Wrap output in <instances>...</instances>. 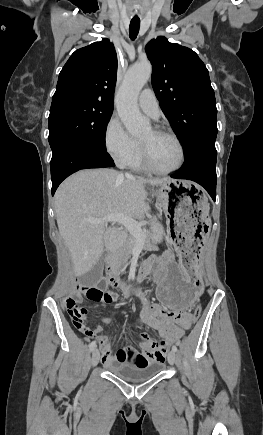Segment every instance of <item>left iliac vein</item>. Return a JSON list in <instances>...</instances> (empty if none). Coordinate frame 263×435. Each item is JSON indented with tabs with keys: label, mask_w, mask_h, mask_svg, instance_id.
I'll use <instances>...</instances> for the list:
<instances>
[{
	"label": "left iliac vein",
	"mask_w": 263,
	"mask_h": 435,
	"mask_svg": "<svg viewBox=\"0 0 263 435\" xmlns=\"http://www.w3.org/2000/svg\"><path fill=\"white\" fill-rule=\"evenodd\" d=\"M176 359H177L176 352L173 351V350L170 351L168 353V362H169V364L173 365L176 362Z\"/></svg>",
	"instance_id": "1"
}]
</instances>
